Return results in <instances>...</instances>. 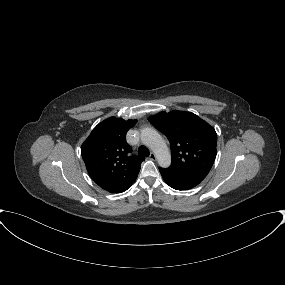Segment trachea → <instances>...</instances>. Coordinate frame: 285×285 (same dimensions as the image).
Segmentation results:
<instances>
[{
  "label": "trachea",
  "instance_id": "trachea-1",
  "mask_svg": "<svg viewBox=\"0 0 285 285\" xmlns=\"http://www.w3.org/2000/svg\"><path fill=\"white\" fill-rule=\"evenodd\" d=\"M138 155L140 157H148L150 155V152H149V150L146 147L140 146L138 148Z\"/></svg>",
  "mask_w": 285,
  "mask_h": 285
}]
</instances>
